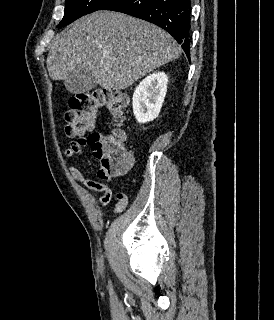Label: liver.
Masks as SVG:
<instances>
[{
	"label": "liver",
	"mask_w": 274,
	"mask_h": 320,
	"mask_svg": "<svg viewBox=\"0 0 274 320\" xmlns=\"http://www.w3.org/2000/svg\"><path fill=\"white\" fill-rule=\"evenodd\" d=\"M182 50L158 26L120 12H94L76 20L50 44L47 70L76 94V78L91 72L104 90H127L145 74L177 60Z\"/></svg>",
	"instance_id": "obj_1"
}]
</instances>
